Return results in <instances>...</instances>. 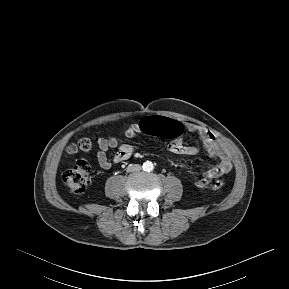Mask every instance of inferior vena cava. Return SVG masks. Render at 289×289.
I'll use <instances>...</instances> for the list:
<instances>
[{
    "label": "inferior vena cava",
    "mask_w": 289,
    "mask_h": 289,
    "mask_svg": "<svg viewBox=\"0 0 289 289\" xmlns=\"http://www.w3.org/2000/svg\"><path fill=\"white\" fill-rule=\"evenodd\" d=\"M140 170H141V166L139 164L130 165L127 168L128 172H134V171H140Z\"/></svg>",
    "instance_id": "inferior-vena-cava-1"
}]
</instances>
